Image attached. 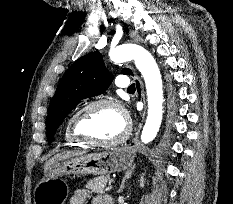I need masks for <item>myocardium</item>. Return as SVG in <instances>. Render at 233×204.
I'll return each mask as SVG.
<instances>
[{
  "mask_svg": "<svg viewBox=\"0 0 233 204\" xmlns=\"http://www.w3.org/2000/svg\"><path fill=\"white\" fill-rule=\"evenodd\" d=\"M100 106H108V107H112L116 109L122 115L124 119L125 129L123 133L119 137L113 140L95 141L88 137H85L78 131V123L82 115L85 114L90 109L95 108V107H100ZM131 130H132L131 120L125 107L120 102L114 99H109V98L97 99V100H93V101L86 103L84 106H82L78 111L74 113L70 121V131L73 137L83 142L86 145L95 146V147L110 148V147H115L117 145H120L121 143L125 142L129 138L131 134Z\"/></svg>",
  "mask_w": 233,
  "mask_h": 204,
  "instance_id": "f54148a6",
  "label": "myocardium"
}]
</instances>
